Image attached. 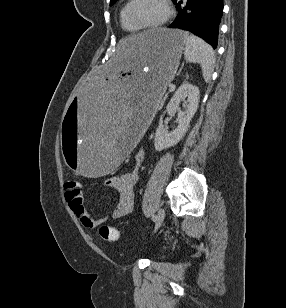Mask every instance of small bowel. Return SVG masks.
I'll list each match as a JSON object with an SVG mask.
<instances>
[{
  "mask_svg": "<svg viewBox=\"0 0 286 308\" xmlns=\"http://www.w3.org/2000/svg\"><path fill=\"white\" fill-rule=\"evenodd\" d=\"M145 159L144 150H138L134 155L133 168L120 175L112 176L107 179V186L120 193L118 202L113 211L106 217L93 218L83 204L82 192L78 190L65 191V199L71 210L77 216L82 226L86 229H95L111 219H118L129 214L134 205V186L138 180L139 169Z\"/></svg>",
  "mask_w": 286,
  "mask_h": 308,
  "instance_id": "obj_1",
  "label": "small bowel"
}]
</instances>
